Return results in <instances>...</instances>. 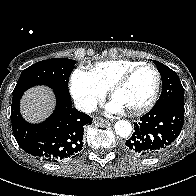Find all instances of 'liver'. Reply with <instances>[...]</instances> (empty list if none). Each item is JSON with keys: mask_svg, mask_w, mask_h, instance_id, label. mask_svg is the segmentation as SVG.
Listing matches in <instances>:
<instances>
[{"mask_svg": "<svg viewBox=\"0 0 196 196\" xmlns=\"http://www.w3.org/2000/svg\"><path fill=\"white\" fill-rule=\"evenodd\" d=\"M55 104L50 88L44 86L29 89L21 101L23 117L29 122H40L52 112Z\"/></svg>", "mask_w": 196, "mask_h": 196, "instance_id": "1", "label": "liver"}]
</instances>
